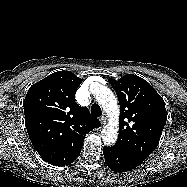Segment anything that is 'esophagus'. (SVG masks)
<instances>
[{
    "mask_svg": "<svg viewBox=\"0 0 187 187\" xmlns=\"http://www.w3.org/2000/svg\"><path fill=\"white\" fill-rule=\"evenodd\" d=\"M99 120H100L102 125L106 124V117L105 116H101Z\"/></svg>",
    "mask_w": 187,
    "mask_h": 187,
    "instance_id": "34e87169",
    "label": "esophagus"
}]
</instances>
